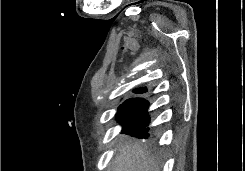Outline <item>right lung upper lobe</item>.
Segmentation results:
<instances>
[{
    "label": "right lung upper lobe",
    "instance_id": "cb5924a9",
    "mask_svg": "<svg viewBox=\"0 0 245 171\" xmlns=\"http://www.w3.org/2000/svg\"><path fill=\"white\" fill-rule=\"evenodd\" d=\"M146 91H147L146 88H138V89L133 90V92H134V93H137V94L145 93ZM129 100H131V99H128V100H126V101H129ZM126 101H125V102H126Z\"/></svg>",
    "mask_w": 245,
    "mask_h": 171
}]
</instances>
